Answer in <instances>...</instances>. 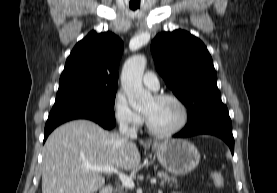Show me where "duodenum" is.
I'll return each mask as SVG.
<instances>
[{
  "label": "duodenum",
  "mask_w": 277,
  "mask_h": 193,
  "mask_svg": "<svg viewBox=\"0 0 277 193\" xmlns=\"http://www.w3.org/2000/svg\"><path fill=\"white\" fill-rule=\"evenodd\" d=\"M99 193H113V187L111 185L104 186Z\"/></svg>",
  "instance_id": "obj_1"
}]
</instances>
